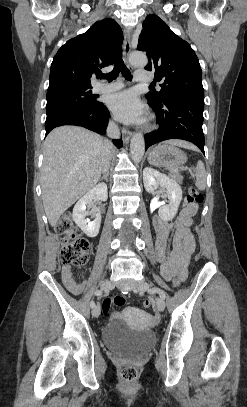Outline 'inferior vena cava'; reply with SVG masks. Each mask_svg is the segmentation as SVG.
<instances>
[{"label":"inferior vena cava","mask_w":247,"mask_h":407,"mask_svg":"<svg viewBox=\"0 0 247 407\" xmlns=\"http://www.w3.org/2000/svg\"><path fill=\"white\" fill-rule=\"evenodd\" d=\"M107 134L111 138H117L120 135V130L119 127L114 123L110 122L108 127H107ZM105 145H106V153L105 157L102 162V172L103 174L107 173L110 167V158H111V152L113 149V144L109 140H105Z\"/></svg>","instance_id":"obj_1"}]
</instances>
